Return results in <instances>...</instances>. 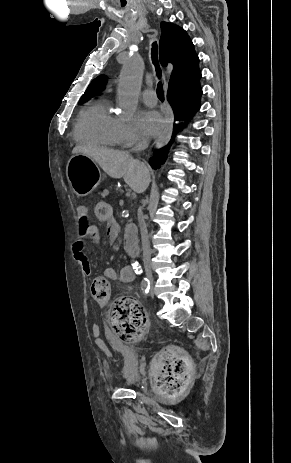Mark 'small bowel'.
I'll return each mask as SVG.
<instances>
[{"label":"small bowel","mask_w":291,"mask_h":463,"mask_svg":"<svg viewBox=\"0 0 291 463\" xmlns=\"http://www.w3.org/2000/svg\"><path fill=\"white\" fill-rule=\"evenodd\" d=\"M78 217V239L72 245V253L83 273L90 275L92 273V268L84 252L85 239L88 238L93 242L98 243L100 241V232L98 227L89 221L88 210L86 207H81L79 209ZM102 221L107 222V233L109 238L108 244L110 246H116L118 244L117 234L120 232V229L118 228L115 219L112 216L110 218H105ZM104 276L109 280H120L122 282H131L135 278V275L129 266H125L120 273H118L114 268H107L104 271Z\"/></svg>","instance_id":"c3829d8e"}]
</instances>
